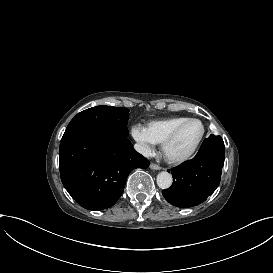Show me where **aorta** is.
Wrapping results in <instances>:
<instances>
[{
	"label": "aorta",
	"mask_w": 273,
	"mask_h": 273,
	"mask_svg": "<svg viewBox=\"0 0 273 273\" xmlns=\"http://www.w3.org/2000/svg\"><path fill=\"white\" fill-rule=\"evenodd\" d=\"M157 185L161 189H168L172 185V175L162 171L157 175Z\"/></svg>",
	"instance_id": "762f6f07"
}]
</instances>
